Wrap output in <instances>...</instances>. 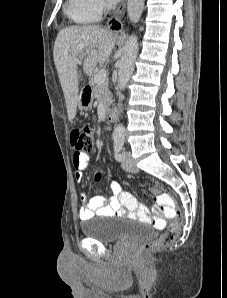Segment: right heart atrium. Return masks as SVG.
<instances>
[{
    "instance_id": "right-heart-atrium-1",
    "label": "right heart atrium",
    "mask_w": 227,
    "mask_h": 298,
    "mask_svg": "<svg viewBox=\"0 0 227 298\" xmlns=\"http://www.w3.org/2000/svg\"><path fill=\"white\" fill-rule=\"evenodd\" d=\"M94 13L99 14L105 7L104 0H83Z\"/></svg>"
}]
</instances>
